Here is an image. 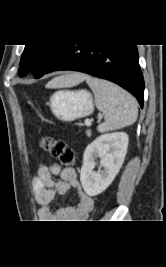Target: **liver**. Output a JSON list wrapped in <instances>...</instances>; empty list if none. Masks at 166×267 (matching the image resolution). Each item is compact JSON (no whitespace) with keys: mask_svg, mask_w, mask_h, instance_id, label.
<instances>
[{"mask_svg":"<svg viewBox=\"0 0 166 267\" xmlns=\"http://www.w3.org/2000/svg\"><path fill=\"white\" fill-rule=\"evenodd\" d=\"M87 79V76L82 73H70L64 76H60L51 80L46 88H58V87H73Z\"/></svg>","mask_w":166,"mask_h":267,"instance_id":"obj_1","label":"liver"}]
</instances>
